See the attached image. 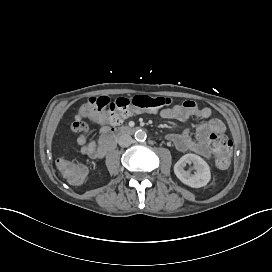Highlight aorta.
<instances>
[{
	"label": "aorta",
	"instance_id": "762f6f07",
	"mask_svg": "<svg viewBox=\"0 0 272 272\" xmlns=\"http://www.w3.org/2000/svg\"><path fill=\"white\" fill-rule=\"evenodd\" d=\"M136 141H144L147 138V134L143 130H137L134 134Z\"/></svg>",
	"mask_w": 272,
	"mask_h": 272
}]
</instances>
